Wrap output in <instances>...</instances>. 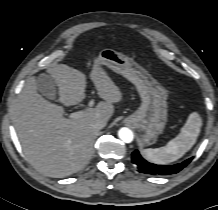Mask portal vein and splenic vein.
Masks as SVG:
<instances>
[{
	"instance_id": "obj_1",
	"label": "portal vein and splenic vein",
	"mask_w": 218,
	"mask_h": 210,
	"mask_svg": "<svg viewBox=\"0 0 218 210\" xmlns=\"http://www.w3.org/2000/svg\"><path fill=\"white\" fill-rule=\"evenodd\" d=\"M93 104H94V101L91 100V101L89 102V106L91 107V106H93ZM83 114H84V110H80V111H78V112L71 113V114H70V118H73V119L79 118V117H81Z\"/></svg>"
}]
</instances>
